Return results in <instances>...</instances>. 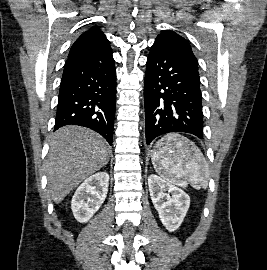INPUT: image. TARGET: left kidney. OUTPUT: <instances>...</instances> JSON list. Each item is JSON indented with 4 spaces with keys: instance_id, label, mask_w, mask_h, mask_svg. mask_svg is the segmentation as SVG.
I'll return each mask as SVG.
<instances>
[{
    "instance_id": "left-kidney-1",
    "label": "left kidney",
    "mask_w": 267,
    "mask_h": 270,
    "mask_svg": "<svg viewBox=\"0 0 267 270\" xmlns=\"http://www.w3.org/2000/svg\"><path fill=\"white\" fill-rule=\"evenodd\" d=\"M148 186L162 224L170 232L177 230L189 209V195L155 174L148 177Z\"/></svg>"
}]
</instances>
